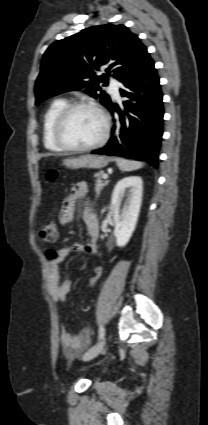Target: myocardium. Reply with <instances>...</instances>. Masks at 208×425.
<instances>
[{
	"label": "myocardium",
	"instance_id": "obj_1",
	"mask_svg": "<svg viewBox=\"0 0 208 425\" xmlns=\"http://www.w3.org/2000/svg\"><path fill=\"white\" fill-rule=\"evenodd\" d=\"M86 108L95 111L99 114L103 122V131L101 136L97 141L92 144L86 146H74L69 144L63 137V131L65 129L66 123L70 117V115L77 109ZM110 132V118L108 114L105 112L103 108H101L98 104L89 102V101H74L68 103L58 114L53 128V139L55 143L65 151L74 152V153H84L91 150H94L103 144L108 139Z\"/></svg>",
	"mask_w": 208,
	"mask_h": 425
}]
</instances>
